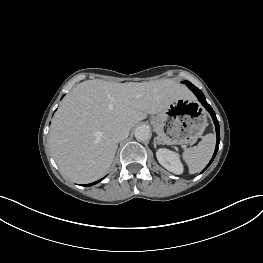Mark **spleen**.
<instances>
[{
  "label": "spleen",
  "instance_id": "3e777b00",
  "mask_svg": "<svg viewBox=\"0 0 263 263\" xmlns=\"http://www.w3.org/2000/svg\"><path fill=\"white\" fill-rule=\"evenodd\" d=\"M215 148V136L205 135L198 145L188 148L183 153V158L188 165L190 174L200 172L209 162Z\"/></svg>",
  "mask_w": 263,
  "mask_h": 263
}]
</instances>
